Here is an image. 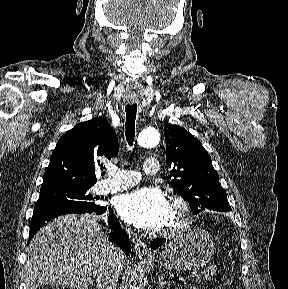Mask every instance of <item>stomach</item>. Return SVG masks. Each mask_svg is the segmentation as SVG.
<instances>
[{
	"label": "stomach",
	"mask_w": 288,
	"mask_h": 289,
	"mask_svg": "<svg viewBox=\"0 0 288 289\" xmlns=\"http://www.w3.org/2000/svg\"><path fill=\"white\" fill-rule=\"evenodd\" d=\"M215 252L214 240L204 229L192 228L177 234L160 253V265L169 270L187 271L205 266Z\"/></svg>",
	"instance_id": "0dacf381"
}]
</instances>
